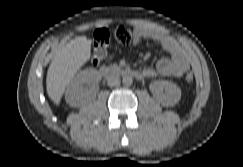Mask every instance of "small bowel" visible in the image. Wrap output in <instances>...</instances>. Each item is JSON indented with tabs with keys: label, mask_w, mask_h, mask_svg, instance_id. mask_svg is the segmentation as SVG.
Returning a JSON list of instances; mask_svg holds the SVG:
<instances>
[{
	"label": "small bowel",
	"mask_w": 243,
	"mask_h": 167,
	"mask_svg": "<svg viewBox=\"0 0 243 167\" xmlns=\"http://www.w3.org/2000/svg\"><path fill=\"white\" fill-rule=\"evenodd\" d=\"M151 40L161 46L169 57L159 59L154 67L143 70L145 77L152 78L157 75L164 77H181L190 67L189 59L184 49L170 36L157 29L138 26L134 30V43L142 40Z\"/></svg>",
	"instance_id": "small-bowel-1"
}]
</instances>
